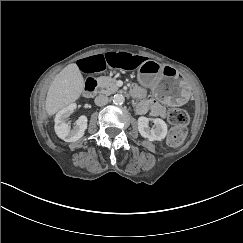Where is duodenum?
I'll return each instance as SVG.
<instances>
[{
  "mask_svg": "<svg viewBox=\"0 0 243 243\" xmlns=\"http://www.w3.org/2000/svg\"><path fill=\"white\" fill-rule=\"evenodd\" d=\"M97 88V81L94 78H89L84 86V96L89 98L92 97Z\"/></svg>",
  "mask_w": 243,
  "mask_h": 243,
  "instance_id": "obj_1",
  "label": "duodenum"
}]
</instances>
